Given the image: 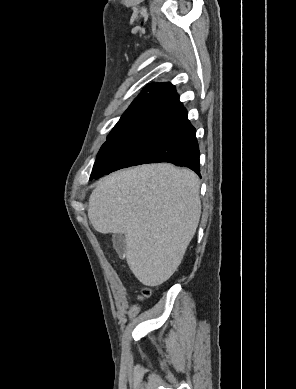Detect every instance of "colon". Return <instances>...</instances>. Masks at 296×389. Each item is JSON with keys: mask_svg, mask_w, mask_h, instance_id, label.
<instances>
[{"mask_svg": "<svg viewBox=\"0 0 296 389\" xmlns=\"http://www.w3.org/2000/svg\"><path fill=\"white\" fill-rule=\"evenodd\" d=\"M149 295H150V289L145 288L142 290L140 298L143 299L148 297Z\"/></svg>", "mask_w": 296, "mask_h": 389, "instance_id": "colon-1", "label": "colon"}]
</instances>
